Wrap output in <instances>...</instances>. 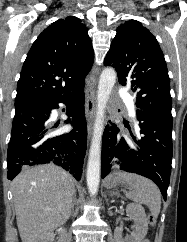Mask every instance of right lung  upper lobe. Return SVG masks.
<instances>
[{
  "label": "right lung upper lobe",
  "mask_w": 187,
  "mask_h": 242,
  "mask_svg": "<svg viewBox=\"0 0 187 242\" xmlns=\"http://www.w3.org/2000/svg\"><path fill=\"white\" fill-rule=\"evenodd\" d=\"M94 61L92 42L81 20H57L33 43L20 73L15 108L36 106L85 84Z\"/></svg>",
  "instance_id": "right-lung-upper-lobe-1"
}]
</instances>
